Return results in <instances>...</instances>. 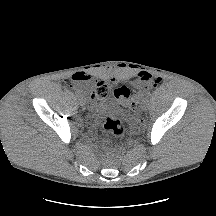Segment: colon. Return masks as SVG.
<instances>
[{"instance_id": "5ec220e1", "label": "colon", "mask_w": 216, "mask_h": 216, "mask_svg": "<svg viewBox=\"0 0 216 216\" xmlns=\"http://www.w3.org/2000/svg\"><path fill=\"white\" fill-rule=\"evenodd\" d=\"M148 74H143L141 76L142 80H151ZM157 83V81H155ZM111 95V87L109 83L104 79H96L94 81V86L89 92V96L92 100L102 104ZM113 96L124 103L131 113L137 111L140 101L143 97L142 94L131 95L128 94L124 89H114ZM103 129L113 137H120L124 133V127L122 122L117 117H106L102 120Z\"/></svg>"}]
</instances>
